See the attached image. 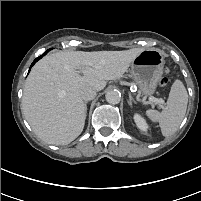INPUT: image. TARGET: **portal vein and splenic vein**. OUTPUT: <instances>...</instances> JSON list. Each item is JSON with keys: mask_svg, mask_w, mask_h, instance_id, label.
I'll return each instance as SVG.
<instances>
[{"mask_svg": "<svg viewBox=\"0 0 201 201\" xmlns=\"http://www.w3.org/2000/svg\"><path fill=\"white\" fill-rule=\"evenodd\" d=\"M149 100L156 104H164V100L160 98L150 97Z\"/></svg>", "mask_w": 201, "mask_h": 201, "instance_id": "18ae733b", "label": "portal vein and splenic vein"}]
</instances>
